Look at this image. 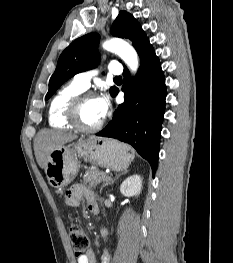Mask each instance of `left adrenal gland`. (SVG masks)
Returning <instances> with one entry per match:
<instances>
[{"mask_svg": "<svg viewBox=\"0 0 233 263\" xmlns=\"http://www.w3.org/2000/svg\"><path fill=\"white\" fill-rule=\"evenodd\" d=\"M127 172H128V171L126 170V171H124L123 173L116 175L115 178L111 179V180L108 181L107 183H105V184L101 187L100 193L102 192V190H103V188H104L105 186H108V185H110V184H113L121 175L126 174Z\"/></svg>", "mask_w": 233, "mask_h": 263, "instance_id": "obj_1", "label": "left adrenal gland"}]
</instances>
